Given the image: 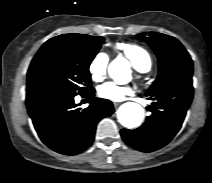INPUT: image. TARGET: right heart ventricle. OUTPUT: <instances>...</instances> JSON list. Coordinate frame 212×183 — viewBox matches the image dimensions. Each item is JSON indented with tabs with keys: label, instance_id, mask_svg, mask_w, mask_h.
<instances>
[{
	"label": "right heart ventricle",
	"instance_id": "right-heart-ventricle-1",
	"mask_svg": "<svg viewBox=\"0 0 212 183\" xmlns=\"http://www.w3.org/2000/svg\"><path fill=\"white\" fill-rule=\"evenodd\" d=\"M115 51L126 57L131 64L139 71L146 72L152 67L150 53L141 45L135 43H117Z\"/></svg>",
	"mask_w": 212,
	"mask_h": 183
}]
</instances>
